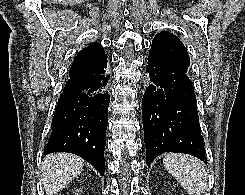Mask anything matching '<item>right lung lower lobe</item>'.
Wrapping results in <instances>:
<instances>
[{
	"label": "right lung lower lobe",
	"instance_id": "right-lung-lower-lobe-1",
	"mask_svg": "<svg viewBox=\"0 0 245 195\" xmlns=\"http://www.w3.org/2000/svg\"><path fill=\"white\" fill-rule=\"evenodd\" d=\"M106 67L88 75L70 76L61 94L52 132L44 153L76 154L104 175L105 135L108 125L110 95Z\"/></svg>",
	"mask_w": 245,
	"mask_h": 195
}]
</instances>
